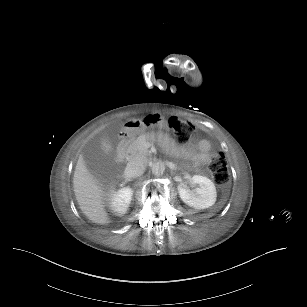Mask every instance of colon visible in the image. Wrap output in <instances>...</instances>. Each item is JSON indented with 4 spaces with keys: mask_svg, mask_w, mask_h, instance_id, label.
Segmentation results:
<instances>
[{
    "mask_svg": "<svg viewBox=\"0 0 307 307\" xmlns=\"http://www.w3.org/2000/svg\"><path fill=\"white\" fill-rule=\"evenodd\" d=\"M170 130L175 135L179 143H186L196 133L195 127L176 116H172L168 120ZM210 169L213 174L214 181L218 185H225L229 179L228 160L224 154L215 155L210 161Z\"/></svg>",
    "mask_w": 307,
    "mask_h": 307,
    "instance_id": "1",
    "label": "colon"
}]
</instances>
